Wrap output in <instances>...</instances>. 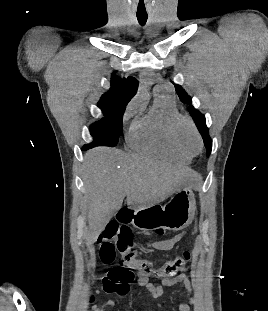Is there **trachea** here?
I'll return each mask as SVG.
<instances>
[{"label":"trachea","mask_w":268,"mask_h":311,"mask_svg":"<svg viewBox=\"0 0 268 311\" xmlns=\"http://www.w3.org/2000/svg\"><path fill=\"white\" fill-rule=\"evenodd\" d=\"M148 15H139L137 14L138 22L141 26H144L147 22Z\"/></svg>","instance_id":"1"}]
</instances>
